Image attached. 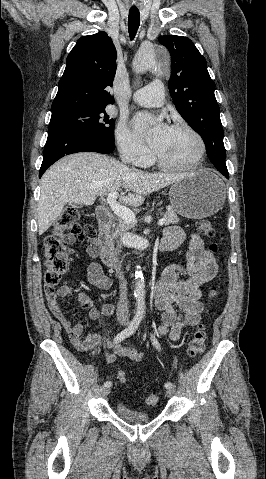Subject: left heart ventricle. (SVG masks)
I'll return each instance as SVG.
<instances>
[{"mask_svg":"<svg viewBox=\"0 0 266 479\" xmlns=\"http://www.w3.org/2000/svg\"><path fill=\"white\" fill-rule=\"evenodd\" d=\"M196 150V141L188 132L170 129L157 156L168 163H182L190 161Z\"/></svg>","mask_w":266,"mask_h":479,"instance_id":"b2bd125f","label":"left heart ventricle"}]
</instances>
